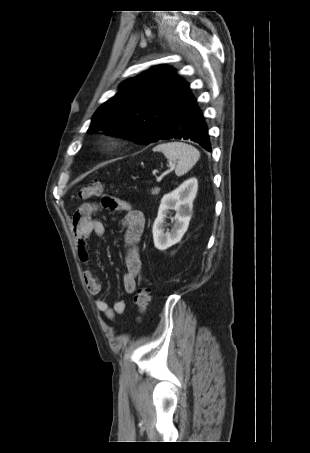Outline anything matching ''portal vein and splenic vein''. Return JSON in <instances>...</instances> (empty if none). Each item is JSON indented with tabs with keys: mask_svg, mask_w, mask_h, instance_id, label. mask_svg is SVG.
Wrapping results in <instances>:
<instances>
[{
	"mask_svg": "<svg viewBox=\"0 0 310 453\" xmlns=\"http://www.w3.org/2000/svg\"><path fill=\"white\" fill-rule=\"evenodd\" d=\"M174 168V165H170V169L166 170L165 172H163L160 176L157 177V181L160 182L162 180V178L168 174L172 169Z\"/></svg>",
	"mask_w": 310,
	"mask_h": 453,
	"instance_id": "1",
	"label": "portal vein and splenic vein"
}]
</instances>
